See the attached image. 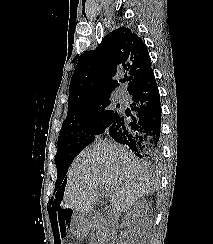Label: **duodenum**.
<instances>
[{
    "label": "duodenum",
    "mask_w": 213,
    "mask_h": 244,
    "mask_svg": "<svg viewBox=\"0 0 213 244\" xmlns=\"http://www.w3.org/2000/svg\"><path fill=\"white\" fill-rule=\"evenodd\" d=\"M95 216H96V213H93L92 215H87V216H86V220H87V222H91L92 219H93V217H95ZM115 237H116V235L110 237V238H109V241H107L106 244H107V243H108V244H111V243L113 242V240L115 239Z\"/></svg>",
    "instance_id": "410a0bca"
}]
</instances>
